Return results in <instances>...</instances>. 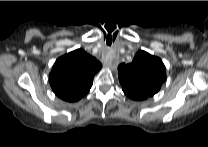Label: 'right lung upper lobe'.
<instances>
[{
    "mask_svg": "<svg viewBox=\"0 0 208 147\" xmlns=\"http://www.w3.org/2000/svg\"><path fill=\"white\" fill-rule=\"evenodd\" d=\"M102 64L82 49L58 58L49 75L53 92L69 102L78 101L90 90Z\"/></svg>",
    "mask_w": 208,
    "mask_h": 147,
    "instance_id": "1",
    "label": "right lung upper lobe"
}]
</instances>
